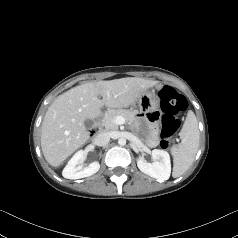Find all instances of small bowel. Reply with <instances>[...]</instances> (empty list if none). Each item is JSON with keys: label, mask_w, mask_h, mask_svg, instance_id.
<instances>
[{"label": "small bowel", "mask_w": 238, "mask_h": 238, "mask_svg": "<svg viewBox=\"0 0 238 238\" xmlns=\"http://www.w3.org/2000/svg\"><path fill=\"white\" fill-rule=\"evenodd\" d=\"M146 120L153 124L151 128V133L147 139L149 146L154 147L157 145V128L155 125H158L163 120V115L158 108L152 107L146 111L145 114Z\"/></svg>", "instance_id": "c3829d8e"}]
</instances>
